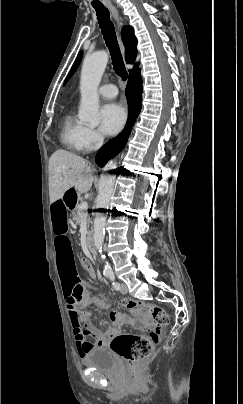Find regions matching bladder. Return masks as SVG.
<instances>
[{
  "label": "bladder",
  "instance_id": "bladder-1",
  "mask_svg": "<svg viewBox=\"0 0 243 404\" xmlns=\"http://www.w3.org/2000/svg\"><path fill=\"white\" fill-rule=\"evenodd\" d=\"M82 363L105 374H115L119 371V363L114 353L106 347L92 348L82 358Z\"/></svg>",
  "mask_w": 243,
  "mask_h": 404
}]
</instances>
